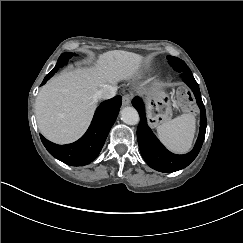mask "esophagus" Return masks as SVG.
<instances>
[{
	"mask_svg": "<svg viewBox=\"0 0 243 243\" xmlns=\"http://www.w3.org/2000/svg\"><path fill=\"white\" fill-rule=\"evenodd\" d=\"M130 104V95L126 94L123 96V105L127 106Z\"/></svg>",
	"mask_w": 243,
	"mask_h": 243,
	"instance_id": "1",
	"label": "esophagus"
}]
</instances>
